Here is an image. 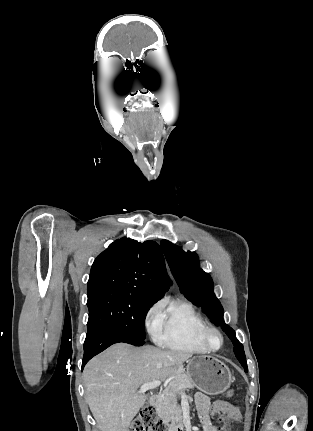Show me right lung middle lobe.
I'll list each match as a JSON object with an SVG mask.
<instances>
[{
    "label": "right lung middle lobe",
    "instance_id": "right-lung-middle-lobe-1",
    "mask_svg": "<svg viewBox=\"0 0 313 431\" xmlns=\"http://www.w3.org/2000/svg\"><path fill=\"white\" fill-rule=\"evenodd\" d=\"M156 302L128 291L111 290L89 296L87 334L107 327L145 340V317Z\"/></svg>",
    "mask_w": 313,
    "mask_h": 431
}]
</instances>
